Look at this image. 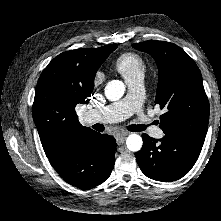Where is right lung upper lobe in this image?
Wrapping results in <instances>:
<instances>
[{
    "label": "right lung upper lobe",
    "instance_id": "right-lung-upper-lobe-1",
    "mask_svg": "<svg viewBox=\"0 0 221 221\" xmlns=\"http://www.w3.org/2000/svg\"><path fill=\"white\" fill-rule=\"evenodd\" d=\"M110 45L63 52L42 72L32 112L47 157L74 136L94 132L79 123L75 106L90 100L95 73L109 56Z\"/></svg>",
    "mask_w": 221,
    "mask_h": 221
}]
</instances>
